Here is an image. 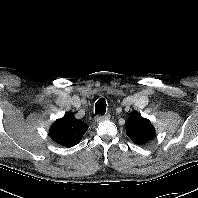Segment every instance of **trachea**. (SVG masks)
I'll list each match as a JSON object with an SVG mask.
<instances>
[{
  "label": "trachea",
  "mask_w": 198,
  "mask_h": 198,
  "mask_svg": "<svg viewBox=\"0 0 198 198\" xmlns=\"http://www.w3.org/2000/svg\"><path fill=\"white\" fill-rule=\"evenodd\" d=\"M106 101L104 99H99L95 104V113L104 115L106 112Z\"/></svg>",
  "instance_id": "1"
}]
</instances>
